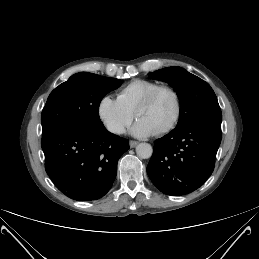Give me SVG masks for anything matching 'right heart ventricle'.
Wrapping results in <instances>:
<instances>
[{
	"label": "right heart ventricle",
	"instance_id": "right-heart-ventricle-1",
	"mask_svg": "<svg viewBox=\"0 0 259 259\" xmlns=\"http://www.w3.org/2000/svg\"><path fill=\"white\" fill-rule=\"evenodd\" d=\"M157 85L154 81L134 79L118 92L116 98L126 110L135 115L142 100Z\"/></svg>",
	"mask_w": 259,
	"mask_h": 259
}]
</instances>
